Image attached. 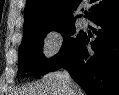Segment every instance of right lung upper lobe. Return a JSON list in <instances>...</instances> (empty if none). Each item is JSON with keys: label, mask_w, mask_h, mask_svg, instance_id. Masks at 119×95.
Here are the masks:
<instances>
[{"label": "right lung upper lobe", "mask_w": 119, "mask_h": 95, "mask_svg": "<svg viewBox=\"0 0 119 95\" xmlns=\"http://www.w3.org/2000/svg\"><path fill=\"white\" fill-rule=\"evenodd\" d=\"M84 0H28L25 7L24 33L41 25L74 21V12ZM85 17L92 22L119 10V0H89ZM78 15L77 17H80Z\"/></svg>", "instance_id": "1"}]
</instances>
